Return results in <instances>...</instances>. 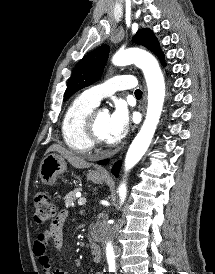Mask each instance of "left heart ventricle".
<instances>
[{
  "mask_svg": "<svg viewBox=\"0 0 215 274\" xmlns=\"http://www.w3.org/2000/svg\"><path fill=\"white\" fill-rule=\"evenodd\" d=\"M109 114L104 111H99L96 116V131L98 135L107 140V123Z\"/></svg>",
  "mask_w": 215,
  "mask_h": 274,
  "instance_id": "left-heart-ventricle-1",
  "label": "left heart ventricle"
}]
</instances>
